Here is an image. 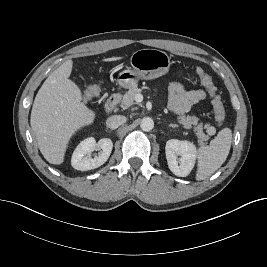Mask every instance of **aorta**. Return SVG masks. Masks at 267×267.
Listing matches in <instances>:
<instances>
[{"label": "aorta", "instance_id": "obj_1", "mask_svg": "<svg viewBox=\"0 0 267 267\" xmlns=\"http://www.w3.org/2000/svg\"><path fill=\"white\" fill-rule=\"evenodd\" d=\"M140 127L143 131H146V132L151 131L154 127V121L150 117H144L141 120Z\"/></svg>", "mask_w": 267, "mask_h": 267}]
</instances>
